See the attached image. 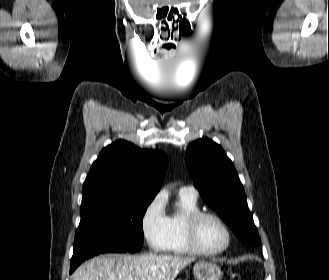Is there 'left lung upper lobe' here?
Here are the masks:
<instances>
[{"label":"left lung upper lobe","instance_id":"1","mask_svg":"<svg viewBox=\"0 0 329 280\" xmlns=\"http://www.w3.org/2000/svg\"><path fill=\"white\" fill-rule=\"evenodd\" d=\"M185 161L205 203L227 221L238 238L259 245L243 186L221 146L208 138L198 139L188 146Z\"/></svg>","mask_w":329,"mask_h":280}]
</instances>
